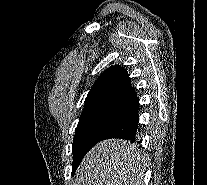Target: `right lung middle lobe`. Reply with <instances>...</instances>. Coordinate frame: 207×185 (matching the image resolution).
<instances>
[{"mask_svg": "<svg viewBox=\"0 0 207 185\" xmlns=\"http://www.w3.org/2000/svg\"><path fill=\"white\" fill-rule=\"evenodd\" d=\"M123 113V111L110 109H93L82 112L73 139V173L86 153Z\"/></svg>", "mask_w": 207, "mask_h": 185, "instance_id": "dd1d6c3e", "label": "right lung middle lobe"}]
</instances>
